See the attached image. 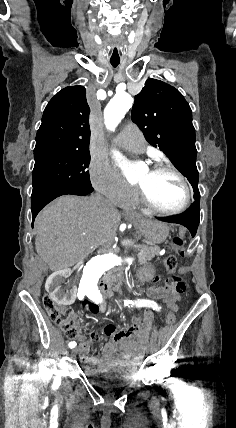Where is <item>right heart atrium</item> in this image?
I'll return each mask as SVG.
<instances>
[{
  "label": "right heart atrium",
  "mask_w": 236,
  "mask_h": 428,
  "mask_svg": "<svg viewBox=\"0 0 236 428\" xmlns=\"http://www.w3.org/2000/svg\"><path fill=\"white\" fill-rule=\"evenodd\" d=\"M89 176L94 190L103 200H111V206H124L135 196L134 188L119 178L106 161H92Z\"/></svg>",
  "instance_id": "d8ad5b80"
}]
</instances>
